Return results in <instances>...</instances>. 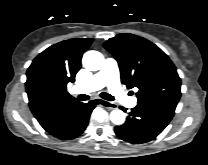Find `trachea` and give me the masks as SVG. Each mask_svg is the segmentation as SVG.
<instances>
[{"label":"trachea","instance_id":"obj_1","mask_svg":"<svg viewBox=\"0 0 208 165\" xmlns=\"http://www.w3.org/2000/svg\"><path fill=\"white\" fill-rule=\"evenodd\" d=\"M100 96L103 99H106V100H109V101H114L115 100V98L113 96H111L110 94L105 93V92H102L100 94ZM88 99H89V96L88 95H85V94L79 95V100H81V101H85V100H88Z\"/></svg>","mask_w":208,"mask_h":165}]
</instances>
